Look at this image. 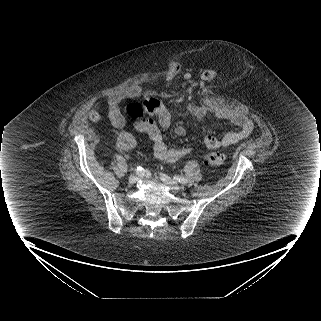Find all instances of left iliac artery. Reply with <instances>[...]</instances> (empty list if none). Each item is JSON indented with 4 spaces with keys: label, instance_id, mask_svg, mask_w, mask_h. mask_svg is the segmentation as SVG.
Instances as JSON below:
<instances>
[{
    "label": "left iliac artery",
    "instance_id": "obj_1",
    "mask_svg": "<svg viewBox=\"0 0 321 321\" xmlns=\"http://www.w3.org/2000/svg\"><path fill=\"white\" fill-rule=\"evenodd\" d=\"M176 180L181 184H187V179L185 177L177 176Z\"/></svg>",
    "mask_w": 321,
    "mask_h": 321
}]
</instances>
